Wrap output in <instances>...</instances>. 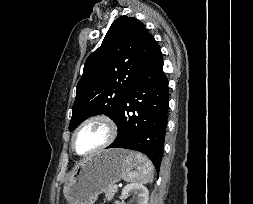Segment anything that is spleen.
Returning a JSON list of instances; mask_svg holds the SVG:
<instances>
[{"label": "spleen", "instance_id": "obj_1", "mask_svg": "<svg viewBox=\"0 0 253 204\" xmlns=\"http://www.w3.org/2000/svg\"><path fill=\"white\" fill-rule=\"evenodd\" d=\"M137 169L123 176L126 182L151 183L153 181L152 162L141 153H137Z\"/></svg>", "mask_w": 253, "mask_h": 204}]
</instances>
